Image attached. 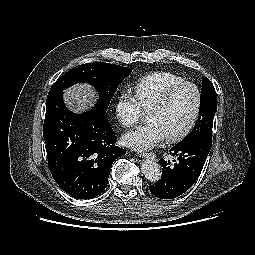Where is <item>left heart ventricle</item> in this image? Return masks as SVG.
Listing matches in <instances>:
<instances>
[{"label": "left heart ventricle", "instance_id": "left-heart-ventricle-1", "mask_svg": "<svg viewBox=\"0 0 255 255\" xmlns=\"http://www.w3.org/2000/svg\"><path fill=\"white\" fill-rule=\"evenodd\" d=\"M196 92L192 87L178 90L168 104L147 115V122L157 123L166 136L176 135L189 123L196 106Z\"/></svg>", "mask_w": 255, "mask_h": 255}]
</instances>
